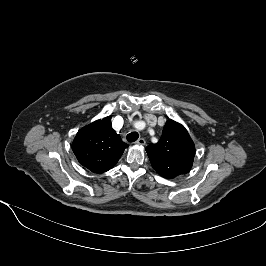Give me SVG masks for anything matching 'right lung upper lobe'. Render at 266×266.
Returning a JSON list of instances; mask_svg holds the SVG:
<instances>
[{
	"mask_svg": "<svg viewBox=\"0 0 266 266\" xmlns=\"http://www.w3.org/2000/svg\"><path fill=\"white\" fill-rule=\"evenodd\" d=\"M127 147L112 128L110 116L80 129L72 143L79 163L93 173L112 169Z\"/></svg>",
	"mask_w": 266,
	"mask_h": 266,
	"instance_id": "cb5924a9",
	"label": "right lung upper lobe"
}]
</instances>
